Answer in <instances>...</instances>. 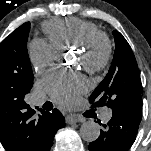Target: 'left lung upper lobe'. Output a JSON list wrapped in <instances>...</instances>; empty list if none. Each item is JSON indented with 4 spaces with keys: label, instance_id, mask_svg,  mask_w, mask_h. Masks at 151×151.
<instances>
[{
    "label": "left lung upper lobe",
    "instance_id": "left-lung-upper-lobe-1",
    "mask_svg": "<svg viewBox=\"0 0 151 151\" xmlns=\"http://www.w3.org/2000/svg\"><path fill=\"white\" fill-rule=\"evenodd\" d=\"M115 52L105 79L90 97L93 107L108 106L113 117L139 125L143 88L132 49L121 33L113 31Z\"/></svg>",
    "mask_w": 151,
    "mask_h": 151
}]
</instances>
